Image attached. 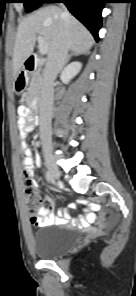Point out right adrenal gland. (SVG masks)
<instances>
[{
  "label": "right adrenal gland",
  "instance_id": "right-adrenal-gland-1",
  "mask_svg": "<svg viewBox=\"0 0 136 296\" xmlns=\"http://www.w3.org/2000/svg\"><path fill=\"white\" fill-rule=\"evenodd\" d=\"M77 55H79V54H78V53H71V54H69V55L67 56V58H66L65 65L69 62V60H70V58H71L72 56H77Z\"/></svg>",
  "mask_w": 136,
  "mask_h": 296
}]
</instances>
